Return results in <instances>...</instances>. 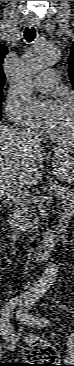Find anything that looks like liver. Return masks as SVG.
Here are the masks:
<instances>
[{"mask_svg": "<svg viewBox=\"0 0 74 366\" xmlns=\"http://www.w3.org/2000/svg\"><path fill=\"white\" fill-rule=\"evenodd\" d=\"M21 131L0 125V187L1 193L36 185L44 166L39 147L23 143ZM57 151H55V154Z\"/></svg>", "mask_w": 74, "mask_h": 366, "instance_id": "obj_1", "label": "liver"}]
</instances>
